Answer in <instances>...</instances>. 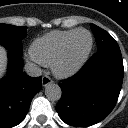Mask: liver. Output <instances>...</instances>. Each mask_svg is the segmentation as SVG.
<instances>
[{"mask_svg":"<svg viewBox=\"0 0 128 128\" xmlns=\"http://www.w3.org/2000/svg\"><path fill=\"white\" fill-rule=\"evenodd\" d=\"M6 66H7L6 50L0 46V78L5 73Z\"/></svg>","mask_w":128,"mask_h":128,"instance_id":"liver-1","label":"liver"}]
</instances>
